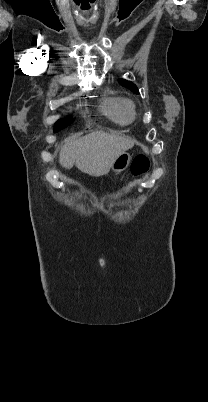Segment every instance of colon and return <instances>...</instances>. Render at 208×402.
Returning <instances> with one entry per match:
<instances>
[{
    "label": "colon",
    "instance_id": "1",
    "mask_svg": "<svg viewBox=\"0 0 208 402\" xmlns=\"http://www.w3.org/2000/svg\"><path fill=\"white\" fill-rule=\"evenodd\" d=\"M151 168V162L147 155L140 154L131 164V175L132 177H139L145 175L149 172Z\"/></svg>",
    "mask_w": 208,
    "mask_h": 402
}]
</instances>
